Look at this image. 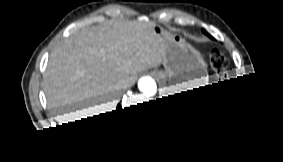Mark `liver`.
Returning a JSON list of instances; mask_svg holds the SVG:
<instances>
[{
  "label": "liver",
  "instance_id": "liver-1",
  "mask_svg": "<svg viewBox=\"0 0 283 162\" xmlns=\"http://www.w3.org/2000/svg\"><path fill=\"white\" fill-rule=\"evenodd\" d=\"M154 24L145 17L114 19L61 40L43 75L50 108L58 117L68 111L85 117L115 109L121 88L131 86L138 71L162 60Z\"/></svg>",
  "mask_w": 283,
  "mask_h": 162
}]
</instances>
